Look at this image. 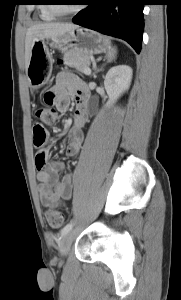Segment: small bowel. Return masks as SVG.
Listing matches in <instances>:
<instances>
[{"label": "small bowel", "mask_w": 181, "mask_h": 300, "mask_svg": "<svg viewBox=\"0 0 181 300\" xmlns=\"http://www.w3.org/2000/svg\"><path fill=\"white\" fill-rule=\"evenodd\" d=\"M50 93L54 95L55 105L61 112H65L69 106L70 98L73 97L76 109L72 126L68 132L69 142L66 148V155L70 158L78 155L84 136L82 128L88 121L89 94L85 84L76 75L69 72H60ZM45 157L43 166L38 167L37 179L40 182L39 194L45 206L58 204L61 201L69 200L72 195L74 175L67 171L60 175L65 169V164L59 159L48 160V148L40 152Z\"/></svg>", "instance_id": "obj_1"}]
</instances>
